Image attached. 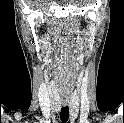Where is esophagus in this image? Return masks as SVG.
Instances as JSON below:
<instances>
[{"label":"esophagus","instance_id":"obj_1","mask_svg":"<svg viewBox=\"0 0 124 123\" xmlns=\"http://www.w3.org/2000/svg\"><path fill=\"white\" fill-rule=\"evenodd\" d=\"M63 104L66 106L68 104V101L67 100H64L63 101Z\"/></svg>","mask_w":124,"mask_h":123}]
</instances>
